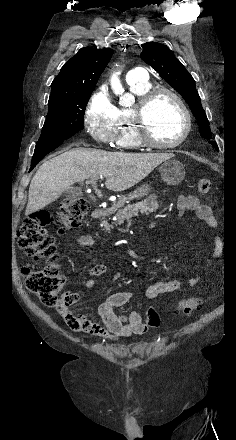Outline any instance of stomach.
Returning a JSON list of instances; mask_svg holds the SVG:
<instances>
[{
  "instance_id": "obj_1",
  "label": "stomach",
  "mask_w": 236,
  "mask_h": 440,
  "mask_svg": "<svg viewBox=\"0 0 236 440\" xmlns=\"http://www.w3.org/2000/svg\"><path fill=\"white\" fill-rule=\"evenodd\" d=\"M159 173L162 180L168 185H178L185 177V169L182 163L174 159L164 161L159 167ZM150 192L149 187L144 184L136 191L130 193L128 197H121L117 207H122L127 200L139 199L146 196Z\"/></svg>"
}]
</instances>
